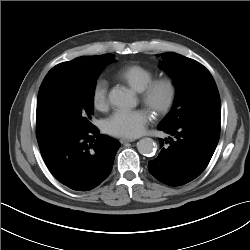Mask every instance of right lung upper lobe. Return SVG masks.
Segmentation results:
<instances>
[{"instance_id":"right-lung-upper-lobe-1","label":"right lung upper lobe","mask_w":250,"mask_h":250,"mask_svg":"<svg viewBox=\"0 0 250 250\" xmlns=\"http://www.w3.org/2000/svg\"><path fill=\"white\" fill-rule=\"evenodd\" d=\"M108 55L109 54L84 56L56 65L45 76L40 86L38 96L65 77L81 75L88 72L92 68L98 66L102 60L108 57Z\"/></svg>"}]
</instances>
